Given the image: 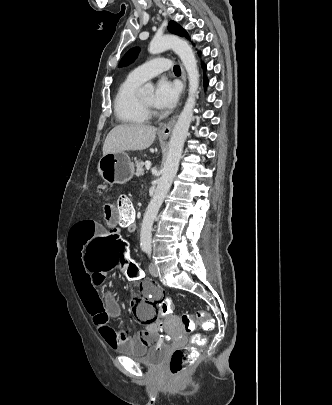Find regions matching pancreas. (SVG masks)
Wrapping results in <instances>:
<instances>
[{
    "label": "pancreas",
    "instance_id": "pancreas-1",
    "mask_svg": "<svg viewBox=\"0 0 332 405\" xmlns=\"http://www.w3.org/2000/svg\"><path fill=\"white\" fill-rule=\"evenodd\" d=\"M135 166H136L135 175H136L137 177H142V176H144V174H145L144 169H143L144 162H142L141 160H136V161H135Z\"/></svg>",
    "mask_w": 332,
    "mask_h": 405
}]
</instances>
